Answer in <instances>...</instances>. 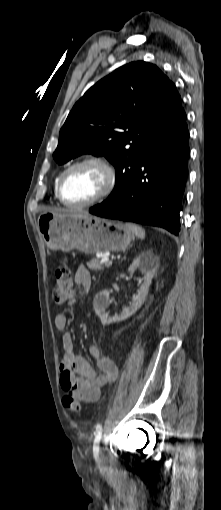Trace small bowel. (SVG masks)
Masks as SVG:
<instances>
[{"label": "small bowel", "mask_w": 221, "mask_h": 510, "mask_svg": "<svg viewBox=\"0 0 221 510\" xmlns=\"http://www.w3.org/2000/svg\"><path fill=\"white\" fill-rule=\"evenodd\" d=\"M74 279L76 284L87 292L91 288L92 279L88 269L79 265L76 268ZM76 301H71L74 305ZM58 329H64L68 325V317L64 313H58L54 319ZM64 355L60 364V385L66 395L79 399L85 403L97 401L102 393V388L114 381L118 375V367L115 362L101 354L96 345H90L88 351L95 359L97 373L88 362L74 351V337L71 333L63 335Z\"/></svg>", "instance_id": "obj_1"}]
</instances>
